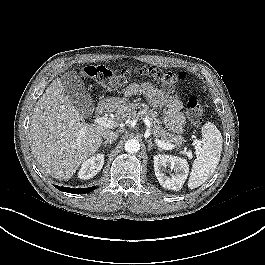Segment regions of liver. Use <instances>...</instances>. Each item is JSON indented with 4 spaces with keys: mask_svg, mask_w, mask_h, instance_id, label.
<instances>
[{
    "mask_svg": "<svg viewBox=\"0 0 265 265\" xmlns=\"http://www.w3.org/2000/svg\"><path fill=\"white\" fill-rule=\"evenodd\" d=\"M115 106L123 108L122 101ZM98 124L83 121L56 78L39 98L31 117L29 143L37 163L58 180H69L102 144L107 132ZM83 131V134H81Z\"/></svg>",
    "mask_w": 265,
    "mask_h": 265,
    "instance_id": "obj_1",
    "label": "liver"
}]
</instances>
